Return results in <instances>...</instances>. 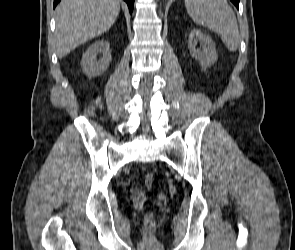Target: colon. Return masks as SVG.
<instances>
[{"mask_svg":"<svg viewBox=\"0 0 295 250\" xmlns=\"http://www.w3.org/2000/svg\"><path fill=\"white\" fill-rule=\"evenodd\" d=\"M154 182V175L152 173H147L144 177V183L147 187H151ZM146 222L151 225L153 223V217L148 215L146 217Z\"/></svg>","mask_w":295,"mask_h":250,"instance_id":"obj_1","label":"colon"}]
</instances>
